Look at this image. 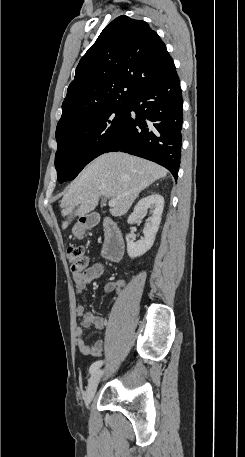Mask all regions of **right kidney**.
<instances>
[{"instance_id":"1","label":"right kidney","mask_w":245,"mask_h":457,"mask_svg":"<svg viewBox=\"0 0 245 457\" xmlns=\"http://www.w3.org/2000/svg\"><path fill=\"white\" fill-rule=\"evenodd\" d=\"M163 208V196H161L159 192H154V194H149V196L141 198V200L137 202L133 212L128 216L127 222L133 224V222H136L139 218H143L144 214H147V212L150 214L143 229L144 239H142V241L133 243V241H130L129 235H126L127 253L131 259H134V257H141V255H144L146 251L151 249L159 229Z\"/></svg>"}]
</instances>
